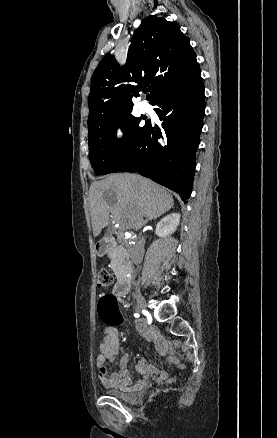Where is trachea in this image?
Segmentation results:
<instances>
[{
  "instance_id": "trachea-1",
  "label": "trachea",
  "mask_w": 277,
  "mask_h": 438,
  "mask_svg": "<svg viewBox=\"0 0 277 438\" xmlns=\"http://www.w3.org/2000/svg\"><path fill=\"white\" fill-rule=\"evenodd\" d=\"M147 92H148V90L144 91V93H147Z\"/></svg>"
}]
</instances>
